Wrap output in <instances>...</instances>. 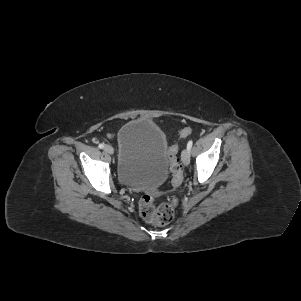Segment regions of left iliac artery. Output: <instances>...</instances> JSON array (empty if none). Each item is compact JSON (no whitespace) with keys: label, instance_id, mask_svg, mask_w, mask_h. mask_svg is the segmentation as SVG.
<instances>
[{"label":"left iliac artery","instance_id":"left-iliac-artery-1","mask_svg":"<svg viewBox=\"0 0 301 301\" xmlns=\"http://www.w3.org/2000/svg\"><path fill=\"white\" fill-rule=\"evenodd\" d=\"M192 145H193V141L190 140V141L187 143V149H188L189 151L191 150Z\"/></svg>","mask_w":301,"mask_h":301}]
</instances>
